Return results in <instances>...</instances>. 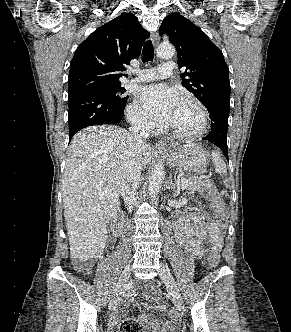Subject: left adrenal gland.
Wrapping results in <instances>:
<instances>
[{
  "instance_id": "a2214340",
  "label": "left adrenal gland",
  "mask_w": 291,
  "mask_h": 332,
  "mask_svg": "<svg viewBox=\"0 0 291 332\" xmlns=\"http://www.w3.org/2000/svg\"><path fill=\"white\" fill-rule=\"evenodd\" d=\"M174 189L175 184L172 182V175L169 176L168 180L166 181V189Z\"/></svg>"
}]
</instances>
